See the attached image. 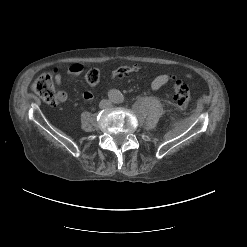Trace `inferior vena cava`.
<instances>
[{"instance_id": "inferior-vena-cava-1", "label": "inferior vena cava", "mask_w": 247, "mask_h": 247, "mask_svg": "<svg viewBox=\"0 0 247 247\" xmlns=\"http://www.w3.org/2000/svg\"><path fill=\"white\" fill-rule=\"evenodd\" d=\"M110 105H111L110 100H106V99L101 100L100 103H99V107H100L101 109L107 108V107H109Z\"/></svg>"}]
</instances>
